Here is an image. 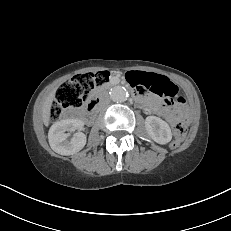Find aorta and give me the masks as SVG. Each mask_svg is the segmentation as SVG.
Here are the masks:
<instances>
[{
  "label": "aorta",
  "mask_w": 231,
  "mask_h": 231,
  "mask_svg": "<svg viewBox=\"0 0 231 231\" xmlns=\"http://www.w3.org/2000/svg\"><path fill=\"white\" fill-rule=\"evenodd\" d=\"M110 98L114 102L122 103V102L127 100L128 92L126 91L125 88H123L121 86H115L110 91Z\"/></svg>",
  "instance_id": "aorta-1"
}]
</instances>
